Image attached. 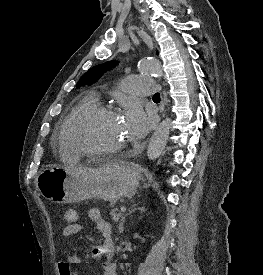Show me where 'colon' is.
<instances>
[{
  "label": "colon",
  "mask_w": 263,
  "mask_h": 275,
  "mask_svg": "<svg viewBox=\"0 0 263 275\" xmlns=\"http://www.w3.org/2000/svg\"><path fill=\"white\" fill-rule=\"evenodd\" d=\"M63 218L68 224H73L78 221V214L75 209L67 208L63 212ZM68 273V266L65 262H61L60 275H66Z\"/></svg>",
  "instance_id": "obj_1"
}]
</instances>
